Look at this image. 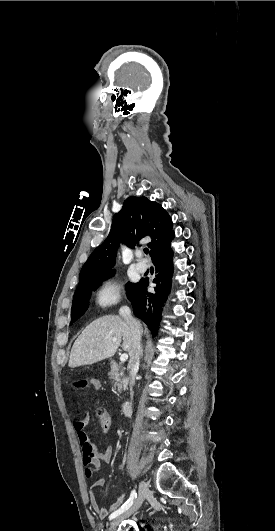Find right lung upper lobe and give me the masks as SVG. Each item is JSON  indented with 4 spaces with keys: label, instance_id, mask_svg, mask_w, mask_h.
<instances>
[{
    "label": "right lung upper lobe",
    "instance_id": "1",
    "mask_svg": "<svg viewBox=\"0 0 275 531\" xmlns=\"http://www.w3.org/2000/svg\"><path fill=\"white\" fill-rule=\"evenodd\" d=\"M172 220L162 206L146 197H128L122 209L114 215L106 240L90 255L80 272L79 287L95 277L113 272L117 248L120 243L133 248L145 236L151 237L148 244L154 253L170 237Z\"/></svg>",
    "mask_w": 275,
    "mask_h": 531
}]
</instances>
